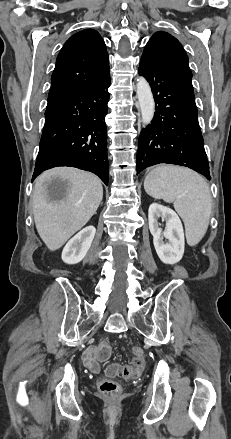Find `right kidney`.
Segmentation results:
<instances>
[{"instance_id": "obj_1", "label": "right kidney", "mask_w": 231, "mask_h": 439, "mask_svg": "<svg viewBox=\"0 0 231 439\" xmlns=\"http://www.w3.org/2000/svg\"><path fill=\"white\" fill-rule=\"evenodd\" d=\"M96 229L87 226L71 238L62 251V260L67 264H77L83 260L91 247Z\"/></svg>"}]
</instances>
